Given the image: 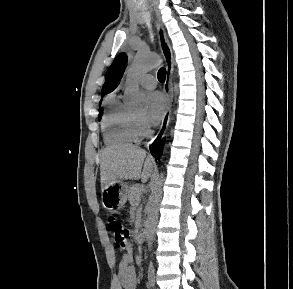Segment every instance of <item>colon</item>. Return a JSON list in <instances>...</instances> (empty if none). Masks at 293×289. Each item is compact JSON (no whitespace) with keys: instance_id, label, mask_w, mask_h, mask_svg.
<instances>
[{"instance_id":"colon-1","label":"colon","mask_w":293,"mask_h":289,"mask_svg":"<svg viewBox=\"0 0 293 289\" xmlns=\"http://www.w3.org/2000/svg\"><path fill=\"white\" fill-rule=\"evenodd\" d=\"M108 228L115 242L123 249L129 245L130 232L126 225L115 217H109L107 220Z\"/></svg>"}]
</instances>
